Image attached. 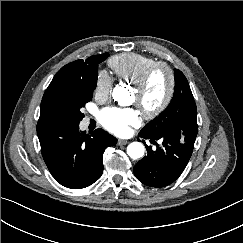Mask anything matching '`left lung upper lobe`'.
<instances>
[{"label": "left lung upper lobe", "instance_id": "obj_1", "mask_svg": "<svg viewBox=\"0 0 243 243\" xmlns=\"http://www.w3.org/2000/svg\"><path fill=\"white\" fill-rule=\"evenodd\" d=\"M174 90L173 99L167 109L149 122L141 132L151 137L171 132L182 139L187 136L194 143L198 130L196 104L188 81L180 70L175 71Z\"/></svg>", "mask_w": 243, "mask_h": 243}]
</instances>
